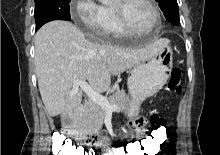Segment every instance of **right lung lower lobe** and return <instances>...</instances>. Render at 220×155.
Listing matches in <instances>:
<instances>
[{
  "label": "right lung lower lobe",
  "mask_w": 220,
  "mask_h": 155,
  "mask_svg": "<svg viewBox=\"0 0 220 155\" xmlns=\"http://www.w3.org/2000/svg\"><path fill=\"white\" fill-rule=\"evenodd\" d=\"M40 27H36V31L39 29Z\"/></svg>",
  "instance_id": "98d812e1"
}]
</instances>
